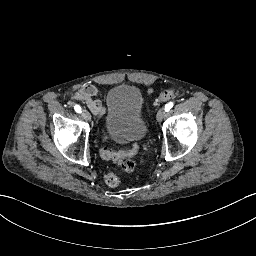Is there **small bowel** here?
I'll return each mask as SVG.
<instances>
[{
    "mask_svg": "<svg viewBox=\"0 0 256 256\" xmlns=\"http://www.w3.org/2000/svg\"><path fill=\"white\" fill-rule=\"evenodd\" d=\"M102 97L100 89L93 84L83 85L73 94L74 100L85 102L88 108L98 116H102L106 112Z\"/></svg>",
    "mask_w": 256,
    "mask_h": 256,
    "instance_id": "small-bowel-1",
    "label": "small bowel"
}]
</instances>
